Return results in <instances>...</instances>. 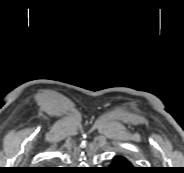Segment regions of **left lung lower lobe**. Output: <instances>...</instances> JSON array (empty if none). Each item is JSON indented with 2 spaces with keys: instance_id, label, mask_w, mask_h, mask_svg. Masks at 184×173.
Instances as JSON below:
<instances>
[{
  "instance_id": "left-lung-lower-lobe-1",
  "label": "left lung lower lobe",
  "mask_w": 184,
  "mask_h": 173,
  "mask_svg": "<svg viewBox=\"0 0 184 173\" xmlns=\"http://www.w3.org/2000/svg\"><path fill=\"white\" fill-rule=\"evenodd\" d=\"M112 173H139L140 168L133 167L131 162L124 156L117 155L113 158Z\"/></svg>"
}]
</instances>
